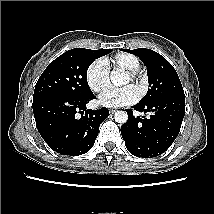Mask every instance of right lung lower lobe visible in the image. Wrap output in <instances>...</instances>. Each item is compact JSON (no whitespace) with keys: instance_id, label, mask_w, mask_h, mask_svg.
Returning <instances> with one entry per match:
<instances>
[{"instance_id":"right-lung-lower-lobe-1","label":"right lung lower lobe","mask_w":214,"mask_h":214,"mask_svg":"<svg viewBox=\"0 0 214 214\" xmlns=\"http://www.w3.org/2000/svg\"><path fill=\"white\" fill-rule=\"evenodd\" d=\"M90 97L47 96L33 101L38 131L54 151L78 156L94 145L99 125L108 117L107 108L87 110ZM78 113H81L79 117Z\"/></svg>"}]
</instances>
